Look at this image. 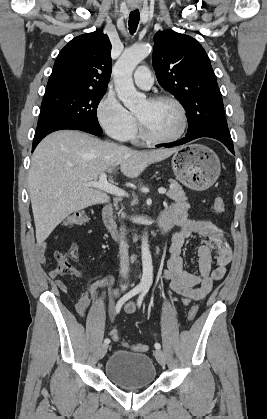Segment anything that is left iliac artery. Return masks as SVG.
Listing matches in <instances>:
<instances>
[{
    "label": "left iliac artery",
    "instance_id": "obj_1",
    "mask_svg": "<svg viewBox=\"0 0 267 419\" xmlns=\"http://www.w3.org/2000/svg\"><path fill=\"white\" fill-rule=\"evenodd\" d=\"M147 292H148V288H143L142 293H141V295L139 296V298L137 300V305H138L139 308L141 307L143 298H144V296L146 295ZM154 346H155L156 349H160L161 348L160 343H155Z\"/></svg>",
    "mask_w": 267,
    "mask_h": 419
}]
</instances>
